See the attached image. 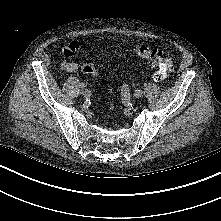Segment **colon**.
<instances>
[{
	"label": "colon",
	"instance_id": "5ec220e1",
	"mask_svg": "<svg viewBox=\"0 0 221 221\" xmlns=\"http://www.w3.org/2000/svg\"><path fill=\"white\" fill-rule=\"evenodd\" d=\"M135 54L144 62L150 64L154 69V78L163 80L173 70V60L164 50L151 49L147 45H139L135 49ZM82 71L89 76H96V69L93 64L86 63Z\"/></svg>",
	"mask_w": 221,
	"mask_h": 221
}]
</instances>
